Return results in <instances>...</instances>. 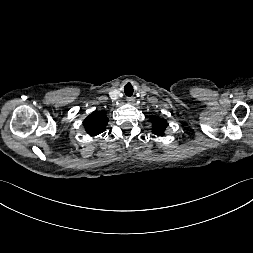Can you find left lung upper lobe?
Listing matches in <instances>:
<instances>
[{
  "label": "left lung upper lobe",
  "mask_w": 253,
  "mask_h": 253,
  "mask_svg": "<svg viewBox=\"0 0 253 253\" xmlns=\"http://www.w3.org/2000/svg\"><path fill=\"white\" fill-rule=\"evenodd\" d=\"M150 122L153 124L152 132L158 136L164 135V131L167 127V122L164 119L152 116Z\"/></svg>",
  "instance_id": "obj_1"
}]
</instances>
